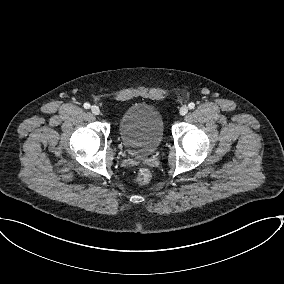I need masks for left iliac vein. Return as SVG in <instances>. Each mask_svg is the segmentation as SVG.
I'll return each mask as SVG.
<instances>
[{
  "instance_id": "obj_1",
  "label": "left iliac vein",
  "mask_w": 284,
  "mask_h": 284,
  "mask_svg": "<svg viewBox=\"0 0 284 284\" xmlns=\"http://www.w3.org/2000/svg\"><path fill=\"white\" fill-rule=\"evenodd\" d=\"M188 112V107L187 106H182L179 110L180 115H186Z\"/></svg>"
}]
</instances>
